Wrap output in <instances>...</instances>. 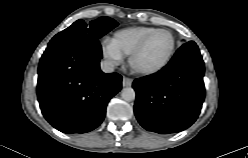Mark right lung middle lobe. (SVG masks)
Wrapping results in <instances>:
<instances>
[{"label":"right lung middle lobe","mask_w":248,"mask_h":158,"mask_svg":"<svg viewBox=\"0 0 248 158\" xmlns=\"http://www.w3.org/2000/svg\"><path fill=\"white\" fill-rule=\"evenodd\" d=\"M118 26V23L109 17H100L90 22L87 25L83 20H77L70 27L58 33L55 37H82L99 39L113 28Z\"/></svg>","instance_id":"obj_1"}]
</instances>
